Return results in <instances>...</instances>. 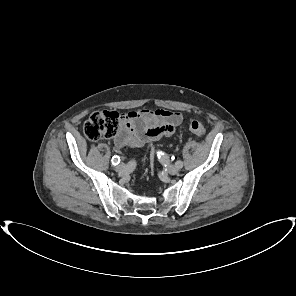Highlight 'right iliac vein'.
<instances>
[{
	"label": "right iliac vein",
	"mask_w": 296,
	"mask_h": 296,
	"mask_svg": "<svg viewBox=\"0 0 296 296\" xmlns=\"http://www.w3.org/2000/svg\"><path fill=\"white\" fill-rule=\"evenodd\" d=\"M124 168H125V165H124L123 163H121V164H119V165L116 167V170H117V171H122V170H124Z\"/></svg>",
	"instance_id": "obj_1"
}]
</instances>
